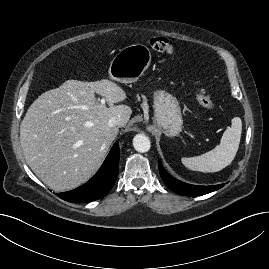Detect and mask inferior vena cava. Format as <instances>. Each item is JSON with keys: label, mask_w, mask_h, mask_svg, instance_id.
Masks as SVG:
<instances>
[{"label": "inferior vena cava", "mask_w": 269, "mask_h": 269, "mask_svg": "<svg viewBox=\"0 0 269 269\" xmlns=\"http://www.w3.org/2000/svg\"><path fill=\"white\" fill-rule=\"evenodd\" d=\"M121 124V119L118 117H112L108 121V126L109 127H117Z\"/></svg>", "instance_id": "1"}]
</instances>
